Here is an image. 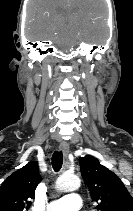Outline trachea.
I'll return each mask as SVG.
<instances>
[{"instance_id": "3493384b", "label": "trachea", "mask_w": 133, "mask_h": 211, "mask_svg": "<svg viewBox=\"0 0 133 211\" xmlns=\"http://www.w3.org/2000/svg\"><path fill=\"white\" fill-rule=\"evenodd\" d=\"M63 162L62 151H55L52 156V166L54 171L58 172L61 169Z\"/></svg>"}]
</instances>
